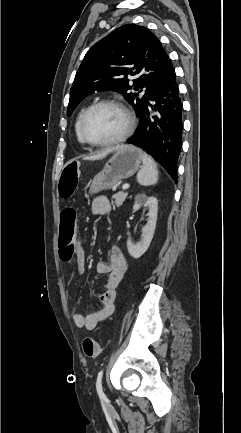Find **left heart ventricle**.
<instances>
[{
  "label": "left heart ventricle",
  "mask_w": 241,
  "mask_h": 433,
  "mask_svg": "<svg viewBox=\"0 0 241 433\" xmlns=\"http://www.w3.org/2000/svg\"><path fill=\"white\" fill-rule=\"evenodd\" d=\"M125 128L123 113L112 106L95 109L85 123V134L94 142H106L119 136Z\"/></svg>",
  "instance_id": "1"
}]
</instances>
